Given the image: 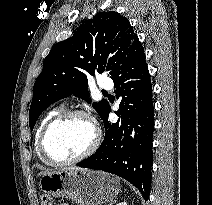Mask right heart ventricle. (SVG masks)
I'll list each match as a JSON object with an SVG mask.
<instances>
[{"mask_svg": "<svg viewBox=\"0 0 212 205\" xmlns=\"http://www.w3.org/2000/svg\"><path fill=\"white\" fill-rule=\"evenodd\" d=\"M60 109H53L51 111H49L45 117L42 119L37 131H36V136H35V149L39 155V157L46 163L48 164H51L49 161H47L44 156L41 154L40 152V149H39V136H40V133L43 129V127L45 126V124L52 118L54 117L55 115H57L58 113H60Z\"/></svg>", "mask_w": 212, "mask_h": 205, "instance_id": "right-heart-ventricle-1", "label": "right heart ventricle"}]
</instances>
